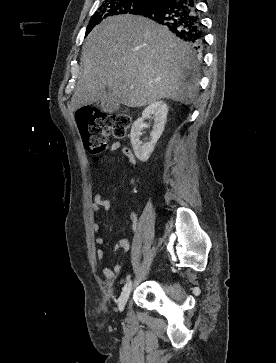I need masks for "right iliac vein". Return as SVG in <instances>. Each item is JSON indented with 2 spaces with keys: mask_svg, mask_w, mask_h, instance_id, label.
Returning a JSON list of instances; mask_svg holds the SVG:
<instances>
[{
  "mask_svg": "<svg viewBox=\"0 0 276 363\" xmlns=\"http://www.w3.org/2000/svg\"><path fill=\"white\" fill-rule=\"evenodd\" d=\"M131 290H132V282L131 281H128L123 289H122V292L120 294V297H119V301H118V307H119V310L122 311L127 303V300L130 296V293H131Z\"/></svg>",
  "mask_w": 276,
  "mask_h": 363,
  "instance_id": "63e3f726",
  "label": "right iliac vein"
}]
</instances>
